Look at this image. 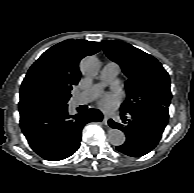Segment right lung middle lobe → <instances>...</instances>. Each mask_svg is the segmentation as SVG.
Returning a JSON list of instances; mask_svg holds the SVG:
<instances>
[{"label":"right lung middle lobe","mask_w":194,"mask_h":193,"mask_svg":"<svg viewBox=\"0 0 194 193\" xmlns=\"http://www.w3.org/2000/svg\"><path fill=\"white\" fill-rule=\"evenodd\" d=\"M70 97V93H63L58 91L44 92L32 102L19 105V111L20 113H25L42 109L66 107Z\"/></svg>","instance_id":"dd1d6c3e"}]
</instances>
